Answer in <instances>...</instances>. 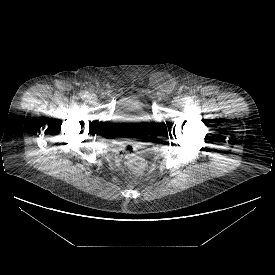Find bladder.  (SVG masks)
Listing matches in <instances>:
<instances>
[{
    "label": "bladder",
    "instance_id": "obj_1",
    "mask_svg": "<svg viewBox=\"0 0 275 275\" xmlns=\"http://www.w3.org/2000/svg\"><path fill=\"white\" fill-rule=\"evenodd\" d=\"M152 123V116L147 110V104L134 99L128 109L115 110L108 124L113 128L145 127Z\"/></svg>",
    "mask_w": 275,
    "mask_h": 275
}]
</instances>
